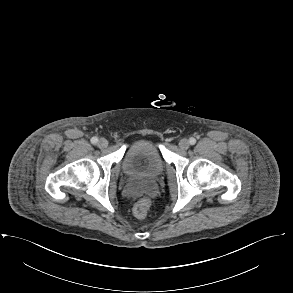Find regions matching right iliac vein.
I'll return each mask as SVG.
<instances>
[{"mask_svg": "<svg viewBox=\"0 0 293 293\" xmlns=\"http://www.w3.org/2000/svg\"><path fill=\"white\" fill-rule=\"evenodd\" d=\"M98 146L100 148H106L108 146V141L105 139V138H101L99 141H98Z\"/></svg>", "mask_w": 293, "mask_h": 293, "instance_id": "1", "label": "right iliac vein"}]
</instances>
